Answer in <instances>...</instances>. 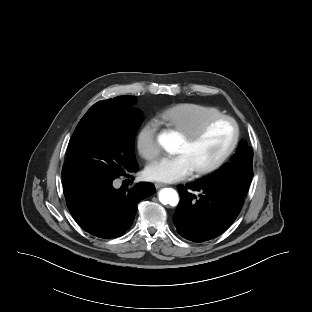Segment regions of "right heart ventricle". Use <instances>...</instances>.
Returning a JSON list of instances; mask_svg holds the SVG:
<instances>
[{
  "label": "right heart ventricle",
  "instance_id": "right-heart-ventricle-1",
  "mask_svg": "<svg viewBox=\"0 0 312 312\" xmlns=\"http://www.w3.org/2000/svg\"><path fill=\"white\" fill-rule=\"evenodd\" d=\"M220 114L221 111L215 107L196 103H182L165 109L159 118L168 127L186 134L196 130L206 120Z\"/></svg>",
  "mask_w": 312,
  "mask_h": 312
}]
</instances>
